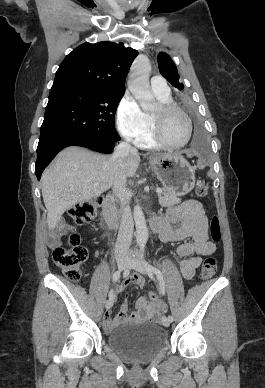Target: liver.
I'll use <instances>...</instances> for the list:
<instances>
[{
  "label": "liver",
  "mask_w": 265,
  "mask_h": 388,
  "mask_svg": "<svg viewBox=\"0 0 265 388\" xmlns=\"http://www.w3.org/2000/svg\"><path fill=\"white\" fill-rule=\"evenodd\" d=\"M139 164V154L130 152L125 168L127 178H133ZM116 174L117 168L112 156H101L78 146L62 150L54 164L48 166L41 178L48 230H54L65 210H69L74 204L90 198H99L103 192L109 190L116 182Z\"/></svg>",
  "instance_id": "1"
}]
</instances>
